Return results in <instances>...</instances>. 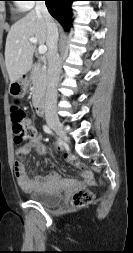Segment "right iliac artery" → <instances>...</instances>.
<instances>
[{"label": "right iliac artery", "mask_w": 133, "mask_h": 253, "mask_svg": "<svg viewBox=\"0 0 133 253\" xmlns=\"http://www.w3.org/2000/svg\"><path fill=\"white\" fill-rule=\"evenodd\" d=\"M43 129H44V131L46 132V133H48V134H54L53 133V131L50 129V127L49 126H47V125H44L43 126Z\"/></svg>", "instance_id": "obj_1"}]
</instances>
